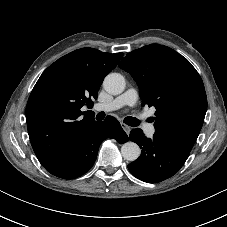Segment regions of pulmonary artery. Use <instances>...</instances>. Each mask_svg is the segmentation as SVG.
<instances>
[{
    "mask_svg": "<svg viewBox=\"0 0 227 227\" xmlns=\"http://www.w3.org/2000/svg\"><path fill=\"white\" fill-rule=\"evenodd\" d=\"M137 100V91L134 88H130L120 96L116 97L113 101L105 104H97L95 108L98 111H113L123 106H134ZM144 131L148 136H152L155 133V128L152 124L145 123Z\"/></svg>",
    "mask_w": 227,
    "mask_h": 227,
    "instance_id": "pulmonary-artery-1",
    "label": "pulmonary artery"
}]
</instances>
